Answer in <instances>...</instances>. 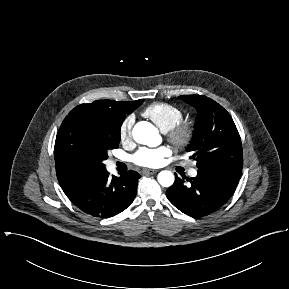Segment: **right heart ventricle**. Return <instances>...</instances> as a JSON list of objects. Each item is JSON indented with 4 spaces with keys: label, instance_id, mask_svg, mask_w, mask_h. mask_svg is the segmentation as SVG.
Listing matches in <instances>:
<instances>
[{
    "label": "right heart ventricle",
    "instance_id": "e07e8e85",
    "mask_svg": "<svg viewBox=\"0 0 289 289\" xmlns=\"http://www.w3.org/2000/svg\"><path fill=\"white\" fill-rule=\"evenodd\" d=\"M143 116L149 118L163 132H167L182 120L183 113L172 104L156 102L144 109Z\"/></svg>",
    "mask_w": 289,
    "mask_h": 289
}]
</instances>
